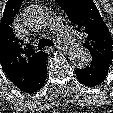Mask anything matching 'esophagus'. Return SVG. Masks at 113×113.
<instances>
[{
  "label": "esophagus",
  "mask_w": 113,
  "mask_h": 113,
  "mask_svg": "<svg viewBox=\"0 0 113 113\" xmlns=\"http://www.w3.org/2000/svg\"><path fill=\"white\" fill-rule=\"evenodd\" d=\"M55 48H57V49H64V46H63L60 42H58V43L55 45Z\"/></svg>",
  "instance_id": "obj_1"
}]
</instances>
